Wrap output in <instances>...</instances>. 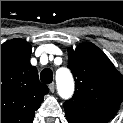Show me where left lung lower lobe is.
I'll list each match as a JSON object with an SVG mask.
<instances>
[{"instance_id":"left-lung-lower-lobe-1","label":"left lung lower lobe","mask_w":123,"mask_h":123,"mask_svg":"<svg viewBox=\"0 0 123 123\" xmlns=\"http://www.w3.org/2000/svg\"><path fill=\"white\" fill-rule=\"evenodd\" d=\"M69 123H107L106 120L86 115L77 111L65 112Z\"/></svg>"}]
</instances>
